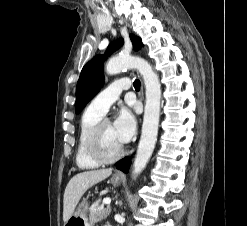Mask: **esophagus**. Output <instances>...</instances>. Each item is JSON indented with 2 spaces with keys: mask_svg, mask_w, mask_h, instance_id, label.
<instances>
[{
  "mask_svg": "<svg viewBox=\"0 0 247 226\" xmlns=\"http://www.w3.org/2000/svg\"><path fill=\"white\" fill-rule=\"evenodd\" d=\"M141 96L143 97V83L141 82ZM118 175H122L121 172L117 173Z\"/></svg>",
  "mask_w": 247,
  "mask_h": 226,
  "instance_id": "1",
  "label": "esophagus"
}]
</instances>
